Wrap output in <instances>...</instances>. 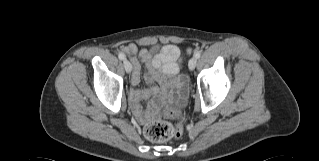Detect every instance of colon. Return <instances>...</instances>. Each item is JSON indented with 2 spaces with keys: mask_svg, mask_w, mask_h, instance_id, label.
I'll return each mask as SVG.
<instances>
[{
  "mask_svg": "<svg viewBox=\"0 0 319 161\" xmlns=\"http://www.w3.org/2000/svg\"><path fill=\"white\" fill-rule=\"evenodd\" d=\"M165 116L178 121V125L174 127L172 124L166 121H159L149 124L145 127L144 133L148 140L153 142L168 141L174 137H180L182 135V114L178 111L167 110Z\"/></svg>",
  "mask_w": 319,
  "mask_h": 161,
  "instance_id": "colon-1",
  "label": "colon"
}]
</instances>
